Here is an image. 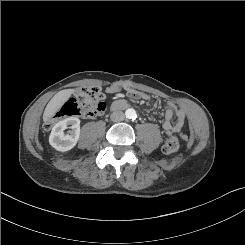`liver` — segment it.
I'll return each mask as SVG.
<instances>
[{
  "label": "liver",
  "mask_w": 245,
  "mask_h": 245,
  "mask_svg": "<svg viewBox=\"0 0 245 245\" xmlns=\"http://www.w3.org/2000/svg\"><path fill=\"white\" fill-rule=\"evenodd\" d=\"M74 92L75 89H65L56 93L49 101L44 110L43 121L47 122L62 107V105L71 97Z\"/></svg>",
  "instance_id": "6515ba94"
}]
</instances>
